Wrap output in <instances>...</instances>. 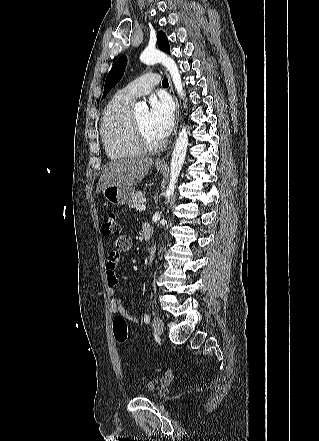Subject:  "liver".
<instances>
[{
	"label": "liver",
	"mask_w": 319,
	"mask_h": 441,
	"mask_svg": "<svg viewBox=\"0 0 319 441\" xmlns=\"http://www.w3.org/2000/svg\"><path fill=\"white\" fill-rule=\"evenodd\" d=\"M153 163L148 157L116 159L109 162L100 176L96 193L111 185L133 184L142 180Z\"/></svg>",
	"instance_id": "liver-1"
}]
</instances>
